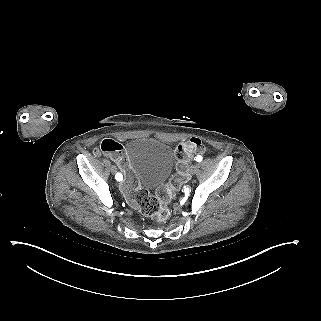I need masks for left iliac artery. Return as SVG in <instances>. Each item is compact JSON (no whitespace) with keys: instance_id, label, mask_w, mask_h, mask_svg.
<instances>
[{"instance_id":"obj_1","label":"left iliac artery","mask_w":321,"mask_h":321,"mask_svg":"<svg viewBox=\"0 0 321 321\" xmlns=\"http://www.w3.org/2000/svg\"><path fill=\"white\" fill-rule=\"evenodd\" d=\"M196 161H197V162H201V161H202V156L198 155V156L196 157Z\"/></svg>"}]
</instances>
